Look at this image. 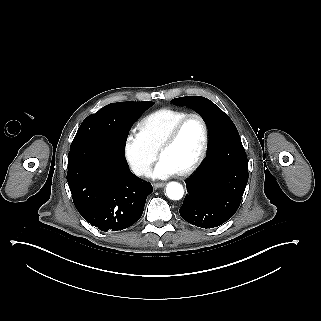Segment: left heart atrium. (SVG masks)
Wrapping results in <instances>:
<instances>
[{
    "mask_svg": "<svg viewBox=\"0 0 321 321\" xmlns=\"http://www.w3.org/2000/svg\"><path fill=\"white\" fill-rule=\"evenodd\" d=\"M178 173L180 170L167 156H161L152 171V175L156 178H167Z\"/></svg>",
    "mask_w": 321,
    "mask_h": 321,
    "instance_id": "39dd6f15",
    "label": "left heart atrium"
}]
</instances>
